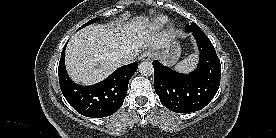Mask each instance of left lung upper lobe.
Listing matches in <instances>:
<instances>
[{
  "mask_svg": "<svg viewBox=\"0 0 276 138\" xmlns=\"http://www.w3.org/2000/svg\"><path fill=\"white\" fill-rule=\"evenodd\" d=\"M196 29H200L199 28V26L198 25H196L195 23H192V24H190V25H186V28H185V30L187 31V32H189V31H195Z\"/></svg>",
  "mask_w": 276,
  "mask_h": 138,
  "instance_id": "left-lung-upper-lobe-1",
  "label": "left lung upper lobe"
}]
</instances>
